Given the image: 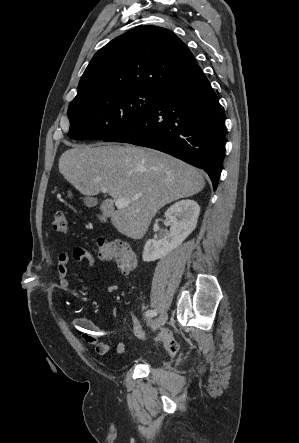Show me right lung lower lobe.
I'll return each instance as SVG.
<instances>
[{
  "mask_svg": "<svg viewBox=\"0 0 299 443\" xmlns=\"http://www.w3.org/2000/svg\"><path fill=\"white\" fill-rule=\"evenodd\" d=\"M104 142L156 149L204 169L216 190L222 170L225 121L202 71L161 91L157 103Z\"/></svg>",
  "mask_w": 299,
  "mask_h": 443,
  "instance_id": "98d812e1",
  "label": "right lung lower lobe"
}]
</instances>
